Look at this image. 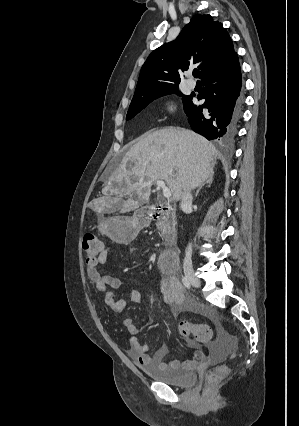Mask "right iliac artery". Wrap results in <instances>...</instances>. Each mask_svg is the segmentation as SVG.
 <instances>
[{
	"instance_id": "82829eb1",
	"label": "right iliac artery",
	"mask_w": 299,
	"mask_h": 426,
	"mask_svg": "<svg viewBox=\"0 0 299 426\" xmlns=\"http://www.w3.org/2000/svg\"><path fill=\"white\" fill-rule=\"evenodd\" d=\"M182 282H183V284H184V286H185L186 288L190 289V282H189V280L187 279V277L183 276V277H182Z\"/></svg>"
}]
</instances>
